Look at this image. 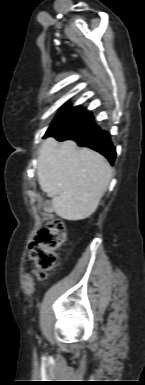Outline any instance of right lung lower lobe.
I'll return each mask as SVG.
<instances>
[{
    "instance_id": "1",
    "label": "right lung lower lobe",
    "mask_w": 145,
    "mask_h": 385,
    "mask_svg": "<svg viewBox=\"0 0 145 385\" xmlns=\"http://www.w3.org/2000/svg\"><path fill=\"white\" fill-rule=\"evenodd\" d=\"M53 137L59 141L74 140L79 146L89 147L101 153L112 165L114 164L116 151L110 135L95 125L90 113H85L73 125Z\"/></svg>"
}]
</instances>
